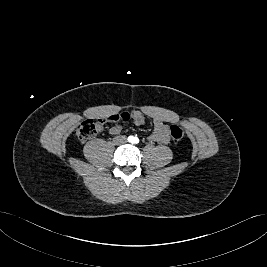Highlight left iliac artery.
I'll use <instances>...</instances> for the list:
<instances>
[{
	"label": "left iliac artery",
	"instance_id": "1",
	"mask_svg": "<svg viewBox=\"0 0 267 267\" xmlns=\"http://www.w3.org/2000/svg\"><path fill=\"white\" fill-rule=\"evenodd\" d=\"M139 142V139L137 137L134 138L133 143L137 144Z\"/></svg>",
	"mask_w": 267,
	"mask_h": 267
}]
</instances>
